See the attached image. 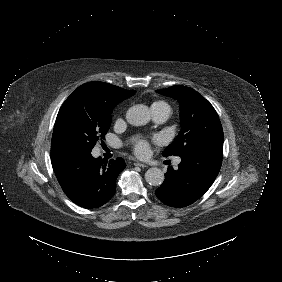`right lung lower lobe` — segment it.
Here are the masks:
<instances>
[{"label": "right lung lower lobe", "instance_id": "right-lung-lower-lobe-1", "mask_svg": "<svg viewBox=\"0 0 282 282\" xmlns=\"http://www.w3.org/2000/svg\"><path fill=\"white\" fill-rule=\"evenodd\" d=\"M52 166L64 193L77 205L97 208L116 192V179L126 164L120 157L103 163L91 152H80L52 160Z\"/></svg>", "mask_w": 282, "mask_h": 282}]
</instances>
